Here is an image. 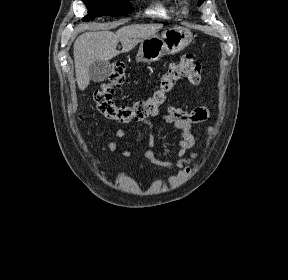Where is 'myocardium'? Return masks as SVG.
Listing matches in <instances>:
<instances>
[{
    "instance_id": "obj_1",
    "label": "myocardium",
    "mask_w": 288,
    "mask_h": 280,
    "mask_svg": "<svg viewBox=\"0 0 288 280\" xmlns=\"http://www.w3.org/2000/svg\"><path fill=\"white\" fill-rule=\"evenodd\" d=\"M182 10H183V12H187V11H188V6H187V3H186V2H184V3L182 4Z\"/></svg>"
}]
</instances>
